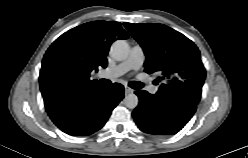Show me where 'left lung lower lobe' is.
Masks as SVG:
<instances>
[{
	"instance_id": "0a47b994",
	"label": "left lung lower lobe",
	"mask_w": 248,
	"mask_h": 158,
	"mask_svg": "<svg viewBox=\"0 0 248 158\" xmlns=\"http://www.w3.org/2000/svg\"><path fill=\"white\" fill-rule=\"evenodd\" d=\"M135 94L140 102L132 115L138 127L145 133L176 134L196 111V105L181 100H165L144 90L136 91Z\"/></svg>"
}]
</instances>
